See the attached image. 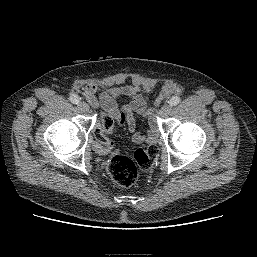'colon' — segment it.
I'll list each match as a JSON object with an SVG mask.
<instances>
[{
    "instance_id": "1",
    "label": "colon",
    "mask_w": 257,
    "mask_h": 257,
    "mask_svg": "<svg viewBox=\"0 0 257 257\" xmlns=\"http://www.w3.org/2000/svg\"><path fill=\"white\" fill-rule=\"evenodd\" d=\"M124 123V118L115 119L104 115L93 133L96 139L95 148L102 153L110 151L114 143L109 137L116 126ZM158 149L155 145L146 148H139L134 152L133 159L120 154H115L109 161L107 171L109 176L120 186L130 187L137 181V167L148 169L156 161Z\"/></svg>"
}]
</instances>
